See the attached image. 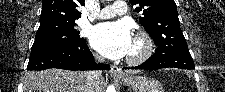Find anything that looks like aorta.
<instances>
[{"instance_id": "obj_1", "label": "aorta", "mask_w": 225, "mask_h": 92, "mask_svg": "<svg viewBox=\"0 0 225 92\" xmlns=\"http://www.w3.org/2000/svg\"><path fill=\"white\" fill-rule=\"evenodd\" d=\"M107 92H115L114 85H109L108 88H107Z\"/></svg>"}]
</instances>
